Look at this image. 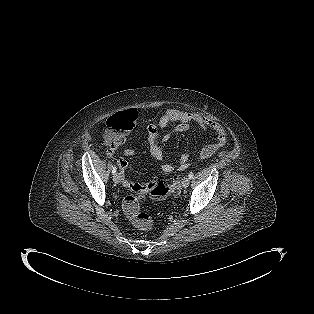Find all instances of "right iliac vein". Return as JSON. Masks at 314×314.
<instances>
[{
    "mask_svg": "<svg viewBox=\"0 0 314 314\" xmlns=\"http://www.w3.org/2000/svg\"><path fill=\"white\" fill-rule=\"evenodd\" d=\"M113 181H114L115 183H119V182L121 181V176H120L119 173L114 174V176H113Z\"/></svg>",
    "mask_w": 314,
    "mask_h": 314,
    "instance_id": "1",
    "label": "right iliac vein"
}]
</instances>
